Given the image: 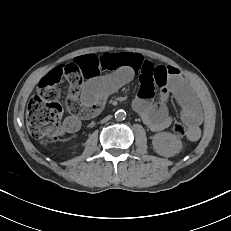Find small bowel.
I'll list each match as a JSON object with an SVG mask.
<instances>
[{
  "instance_id": "small-bowel-1",
  "label": "small bowel",
  "mask_w": 231,
  "mask_h": 231,
  "mask_svg": "<svg viewBox=\"0 0 231 231\" xmlns=\"http://www.w3.org/2000/svg\"><path fill=\"white\" fill-rule=\"evenodd\" d=\"M62 75L69 83L67 108L70 115L64 121L67 132L78 131L82 120L102 110L109 95L138 76L140 87L133 109L152 131L170 126L168 95L172 93L181 104L182 119L189 127L188 138L195 141L200 137L202 115L198 101L180 71L173 66L156 64L136 53L88 54L54 68L43 80L57 83Z\"/></svg>"
}]
</instances>
